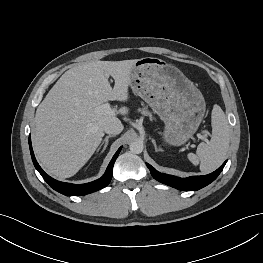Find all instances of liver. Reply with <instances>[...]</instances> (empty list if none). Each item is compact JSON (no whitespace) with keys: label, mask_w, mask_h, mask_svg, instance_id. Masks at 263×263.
<instances>
[{"label":"liver","mask_w":263,"mask_h":263,"mask_svg":"<svg viewBox=\"0 0 263 263\" xmlns=\"http://www.w3.org/2000/svg\"><path fill=\"white\" fill-rule=\"evenodd\" d=\"M135 60L92 61L66 71L38 106L34 149L42 165L58 178L75 175L100 144L104 127L119 119L96 108L108 100L127 101ZM112 76V88L108 79ZM121 107L116 113L127 115Z\"/></svg>","instance_id":"obj_1"}]
</instances>
